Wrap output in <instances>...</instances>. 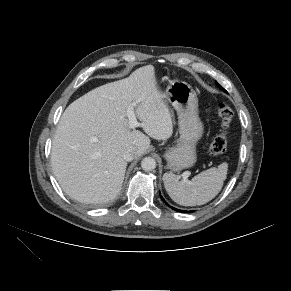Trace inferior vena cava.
Returning a JSON list of instances; mask_svg holds the SVG:
<instances>
[{
	"mask_svg": "<svg viewBox=\"0 0 291 291\" xmlns=\"http://www.w3.org/2000/svg\"><path fill=\"white\" fill-rule=\"evenodd\" d=\"M134 154H135V151H134V149L131 148V149H127L126 151H124L122 157L126 161H132L135 157Z\"/></svg>",
	"mask_w": 291,
	"mask_h": 291,
	"instance_id": "inferior-vena-cava-1",
	"label": "inferior vena cava"
}]
</instances>
